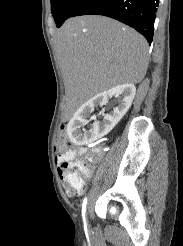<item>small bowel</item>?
<instances>
[{"label": "small bowel", "instance_id": "1", "mask_svg": "<svg viewBox=\"0 0 183 246\" xmlns=\"http://www.w3.org/2000/svg\"><path fill=\"white\" fill-rule=\"evenodd\" d=\"M84 152H85V149L80 150V153H84ZM75 155H76V152L74 150H70L65 155L59 156L57 159V162H58V164H61L63 161H71L74 159ZM59 176L62 179V181L64 183H66L67 189H68L69 193H71L69 190V181H68L67 174L61 168L59 169ZM82 189H83V187L78 192L71 193V194L78 195L82 192Z\"/></svg>", "mask_w": 183, "mask_h": 246}]
</instances>
